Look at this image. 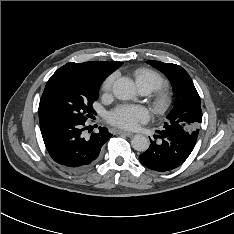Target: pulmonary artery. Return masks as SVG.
Masks as SVG:
<instances>
[{"label": "pulmonary artery", "instance_id": "pulmonary-artery-1", "mask_svg": "<svg viewBox=\"0 0 234 234\" xmlns=\"http://www.w3.org/2000/svg\"><path fill=\"white\" fill-rule=\"evenodd\" d=\"M139 91L142 95H148L151 93L150 89L145 86L139 87Z\"/></svg>", "mask_w": 234, "mask_h": 234}]
</instances>
